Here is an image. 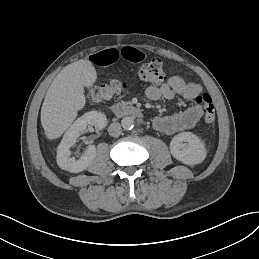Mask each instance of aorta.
<instances>
[{"mask_svg": "<svg viewBox=\"0 0 259 259\" xmlns=\"http://www.w3.org/2000/svg\"><path fill=\"white\" fill-rule=\"evenodd\" d=\"M121 125L124 130H131L134 127V119L132 117H124L121 120Z\"/></svg>", "mask_w": 259, "mask_h": 259, "instance_id": "obj_1", "label": "aorta"}]
</instances>
